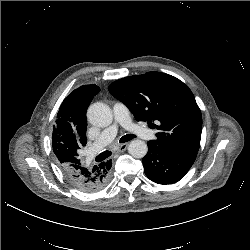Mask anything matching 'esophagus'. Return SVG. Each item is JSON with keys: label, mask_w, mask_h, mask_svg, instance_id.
I'll return each mask as SVG.
<instances>
[{"label": "esophagus", "mask_w": 250, "mask_h": 250, "mask_svg": "<svg viewBox=\"0 0 250 250\" xmlns=\"http://www.w3.org/2000/svg\"><path fill=\"white\" fill-rule=\"evenodd\" d=\"M128 147V144L127 143H124V144H121L117 147V151L118 152H124Z\"/></svg>", "instance_id": "34e87169"}]
</instances>
